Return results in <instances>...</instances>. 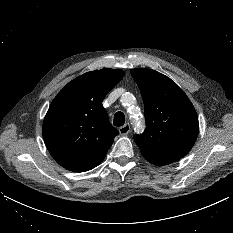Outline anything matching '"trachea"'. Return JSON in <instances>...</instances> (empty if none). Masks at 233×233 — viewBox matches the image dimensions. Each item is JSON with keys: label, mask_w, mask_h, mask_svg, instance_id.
<instances>
[{"label": "trachea", "mask_w": 233, "mask_h": 233, "mask_svg": "<svg viewBox=\"0 0 233 233\" xmlns=\"http://www.w3.org/2000/svg\"><path fill=\"white\" fill-rule=\"evenodd\" d=\"M125 123V116L122 112H116L114 115L113 125L116 127L123 126Z\"/></svg>", "instance_id": "1"}]
</instances>
